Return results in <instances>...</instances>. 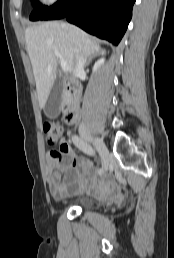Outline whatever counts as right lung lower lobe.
<instances>
[{
	"mask_svg": "<svg viewBox=\"0 0 174 258\" xmlns=\"http://www.w3.org/2000/svg\"><path fill=\"white\" fill-rule=\"evenodd\" d=\"M135 0H59L41 20L66 17L86 32L118 45L132 17Z\"/></svg>",
	"mask_w": 174,
	"mask_h": 258,
	"instance_id": "obj_1",
	"label": "right lung lower lobe"
}]
</instances>
